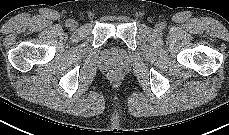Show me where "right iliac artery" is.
I'll return each mask as SVG.
<instances>
[{
  "label": "right iliac artery",
  "instance_id": "obj_1",
  "mask_svg": "<svg viewBox=\"0 0 229 135\" xmlns=\"http://www.w3.org/2000/svg\"><path fill=\"white\" fill-rule=\"evenodd\" d=\"M70 22H71V20L69 19V20H67V22H66V26H70Z\"/></svg>",
  "mask_w": 229,
  "mask_h": 135
}]
</instances>
